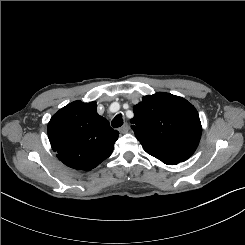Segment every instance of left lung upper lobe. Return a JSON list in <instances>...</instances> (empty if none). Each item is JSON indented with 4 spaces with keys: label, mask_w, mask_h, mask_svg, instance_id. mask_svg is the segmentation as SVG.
Instances as JSON below:
<instances>
[{
    "label": "left lung upper lobe",
    "mask_w": 245,
    "mask_h": 245,
    "mask_svg": "<svg viewBox=\"0 0 245 245\" xmlns=\"http://www.w3.org/2000/svg\"><path fill=\"white\" fill-rule=\"evenodd\" d=\"M130 120L143 147L188 159L202 133L197 110L184 98L159 92L133 107Z\"/></svg>",
    "instance_id": "1"
}]
</instances>
